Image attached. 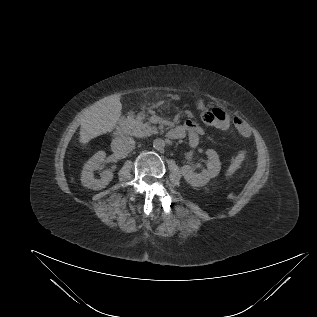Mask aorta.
Here are the masks:
<instances>
[{
	"label": "aorta",
	"instance_id": "obj_1",
	"mask_svg": "<svg viewBox=\"0 0 317 317\" xmlns=\"http://www.w3.org/2000/svg\"><path fill=\"white\" fill-rule=\"evenodd\" d=\"M153 147L157 150H162L165 147V141L161 138H157L153 141Z\"/></svg>",
	"mask_w": 317,
	"mask_h": 317
}]
</instances>
